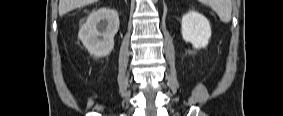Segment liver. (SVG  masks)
I'll return each instance as SVG.
<instances>
[{
    "label": "liver",
    "mask_w": 283,
    "mask_h": 116,
    "mask_svg": "<svg viewBox=\"0 0 283 116\" xmlns=\"http://www.w3.org/2000/svg\"><path fill=\"white\" fill-rule=\"evenodd\" d=\"M94 2H96V0H59V15L63 16L76 8L92 4Z\"/></svg>",
    "instance_id": "obj_1"
}]
</instances>
